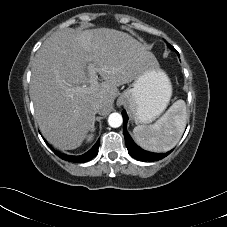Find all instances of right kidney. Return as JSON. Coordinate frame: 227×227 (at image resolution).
I'll use <instances>...</instances> for the list:
<instances>
[{"label":"right kidney","mask_w":227,"mask_h":227,"mask_svg":"<svg viewBox=\"0 0 227 227\" xmlns=\"http://www.w3.org/2000/svg\"><path fill=\"white\" fill-rule=\"evenodd\" d=\"M93 139V134L89 135L88 138H87V141H91Z\"/></svg>","instance_id":"obj_1"}]
</instances>
